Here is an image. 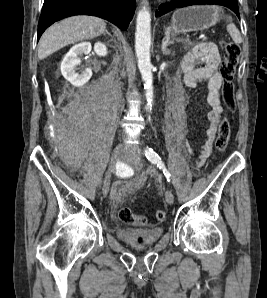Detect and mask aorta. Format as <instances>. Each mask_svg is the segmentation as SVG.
Instances as JSON below:
<instances>
[{"mask_svg": "<svg viewBox=\"0 0 267 298\" xmlns=\"http://www.w3.org/2000/svg\"><path fill=\"white\" fill-rule=\"evenodd\" d=\"M151 46V15L147 2H143L138 12L135 33V52L138 59V68L144 81L146 91V110L150 112L153 105V75L150 61Z\"/></svg>", "mask_w": 267, "mask_h": 298, "instance_id": "762f6f07", "label": "aorta"}]
</instances>
